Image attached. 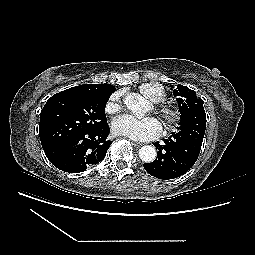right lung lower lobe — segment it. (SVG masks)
Returning <instances> with one entry per match:
<instances>
[{
    "mask_svg": "<svg viewBox=\"0 0 255 255\" xmlns=\"http://www.w3.org/2000/svg\"><path fill=\"white\" fill-rule=\"evenodd\" d=\"M109 131L106 123L97 130L72 137L56 154L46 156L55 167L64 172H83L105 157L112 143L107 139Z\"/></svg>",
    "mask_w": 255,
    "mask_h": 255,
    "instance_id": "right-lung-lower-lobe-1",
    "label": "right lung lower lobe"
}]
</instances>
